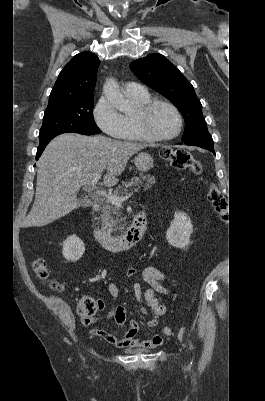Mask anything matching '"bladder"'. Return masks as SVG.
<instances>
[{"label": "bladder", "mask_w": 265, "mask_h": 401, "mask_svg": "<svg viewBox=\"0 0 265 401\" xmlns=\"http://www.w3.org/2000/svg\"><path fill=\"white\" fill-rule=\"evenodd\" d=\"M146 351L147 350H149V348L148 349H145ZM128 351H133V352H142V350H134V349H129Z\"/></svg>", "instance_id": "1"}]
</instances>
